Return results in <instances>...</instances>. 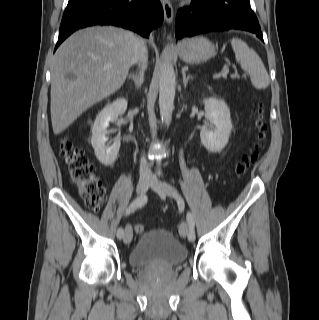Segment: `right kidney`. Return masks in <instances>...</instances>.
<instances>
[{
	"instance_id": "1",
	"label": "right kidney",
	"mask_w": 319,
	"mask_h": 320,
	"mask_svg": "<svg viewBox=\"0 0 319 320\" xmlns=\"http://www.w3.org/2000/svg\"><path fill=\"white\" fill-rule=\"evenodd\" d=\"M127 100L119 98L107 104L97 115L92 127L91 144L97 159L105 166H111L117 159L121 142L114 141L111 146H106L108 140L107 127L109 122H114L118 117L125 113Z\"/></svg>"
}]
</instances>
